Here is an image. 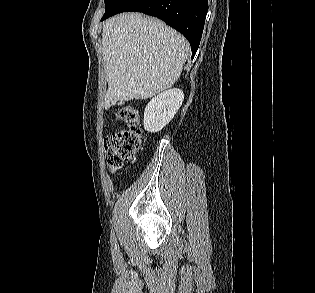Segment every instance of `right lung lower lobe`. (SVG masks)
I'll use <instances>...</instances> for the list:
<instances>
[{
  "label": "right lung lower lobe",
  "mask_w": 315,
  "mask_h": 293,
  "mask_svg": "<svg viewBox=\"0 0 315 293\" xmlns=\"http://www.w3.org/2000/svg\"><path fill=\"white\" fill-rule=\"evenodd\" d=\"M137 11L163 20L189 41L194 57L202 36L208 0H112L101 20Z\"/></svg>",
  "instance_id": "98d812e1"
}]
</instances>
